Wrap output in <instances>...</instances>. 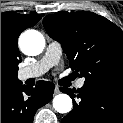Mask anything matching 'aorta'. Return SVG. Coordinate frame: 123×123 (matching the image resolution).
<instances>
[{
	"mask_svg": "<svg viewBox=\"0 0 123 123\" xmlns=\"http://www.w3.org/2000/svg\"><path fill=\"white\" fill-rule=\"evenodd\" d=\"M45 46L43 35L36 30H28L20 37V47L24 54L35 56L40 54ZM53 107L59 113H68L72 109V99L67 94H58L53 99Z\"/></svg>",
	"mask_w": 123,
	"mask_h": 123,
	"instance_id": "1",
	"label": "aorta"
}]
</instances>
